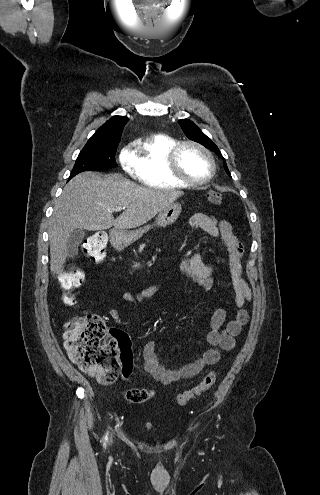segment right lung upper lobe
I'll list each match as a JSON object with an SVG mask.
<instances>
[{
	"label": "right lung upper lobe",
	"instance_id": "cb5924a9",
	"mask_svg": "<svg viewBox=\"0 0 320 495\" xmlns=\"http://www.w3.org/2000/svg\"><path fill=\"white\" fill-rule=\"evenodd\" d=\"M128 118L113 116L104 123L88 140L85 146H102L119 144L124 125Z\"/></svg>",
	"mask_w": 320,
	"mask_h": 495
}]
</instances>
